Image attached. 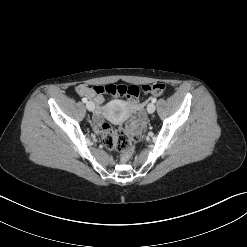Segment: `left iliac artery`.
<instances>
[{
    "label": "left iliac artery",
    "instance_id": "44dca946",
    "mask_svg": "<svg viewBox=\"0 0 247 247\" xmlns=\"http://www.w3.org/2000/svg\"><path fill=\"white\" fill-rule=\"evenodd\" d=\"M157 101L156 98H152V102L155 103Z\"/></svg>",
    "mask_w": 247,
    "mask_h": 247
}]
</instances>
